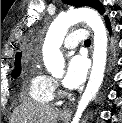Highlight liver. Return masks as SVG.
Listing matches in <instances>:
<instances>
[{
  "label": "liver",
  "mask_w": 122,
  "mask_h": 123,
  "mask_svg": "<svg viewBox=\"0 0 122 123\" xmlns=\"http://www.w3.org/2000/svg\"><path fill=\"white\" fill-rule=\"evenodd\" d=\"M58 108L46 104L25 102L16 108L11 123H57Z\"/></svg>",
  "instance_id": "1"
}]
</instances>
